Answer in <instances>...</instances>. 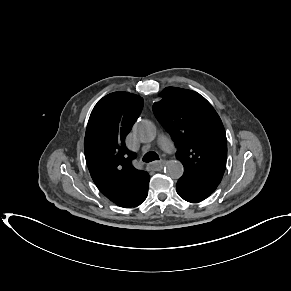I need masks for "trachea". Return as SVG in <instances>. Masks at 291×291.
<instances>
[{"label":"trachea","mask_w":291,"mask_h":291,"mask_svg":"<svg viewBox=\"0 0 291 291\" xmlns=\"http://www.w3.org/2000/svg\"><path fill=\"white\" fill-rule=\"evenodd\" d=\"M158 159H159V157L155 152H148L143 157L144 162H151V161L158 160Z\"/></svg>","instance_id":"3493384b"}]
</instances>
